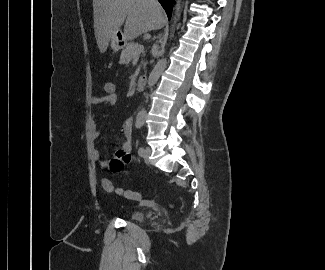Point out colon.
I'll list each match as a JSON object with an SVG mask.
<instances>
[{
	"instance_id": "obj_1",
	"label": "colon",
	"mask_w": 325,
	"mask_h": 270,
	"mask_svg": "<svg viewBox=\"0 0 325 270\" xmlns=\"http://www.w3.org/2000/svg\"><path fill=\"white\" fill-rule=\"evenodd\" d=\"M103 92L106 96L117 95V86L113 81H106L103 85ZM102 187L105 191L109 193H115L117 195L123 196L129 200L140 201L142 200V195L133 190H125L122 188L115 187L112 182L108 179H103Z\"/></svg>"
}]
</instances>
